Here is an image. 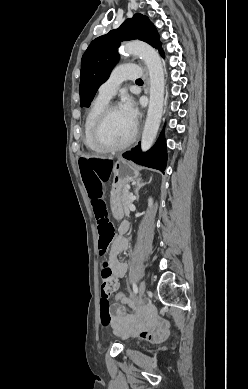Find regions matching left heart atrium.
<instances>
[{
	"instance_id": "obj_1",
	"label": "left heart atrium",
	"mask_w": 248,
	"mask_h": 389,
	"mask_svg": "<svg viewBox=\"0 0 248 389\" xmlns=\"http://www.w3.org/2000/svg\"><path fill=\"white\" fill-rule=\"evenodd\" d=\"M122 112L127 117V119L135 126L137 120V109L134 105L133 100L126 96L120 106Z\"/></svg>"
}]
</instances>
